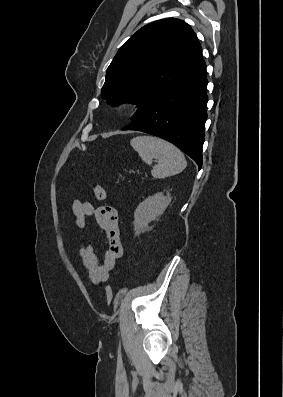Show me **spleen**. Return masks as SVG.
<instances>
[{
	"label": "spleen",
	"mask_w": 283,
	"mask_h": 397,
	"mask_svg": "<svg viewBox=\"0 0 283 397\" xmlns=\"http://www.w3.org/2000/svg\"><path fill=\"white\" fill-rule=\"evenodd\" d=\"M141 159L151 165L153 159L158 163L153 166L151 174L154 178H166L180 173L187 166L184 154L176 146L154 136H137L130 141Z\"/></svg>",
	"instance_id": "1"
}]
</instances>
